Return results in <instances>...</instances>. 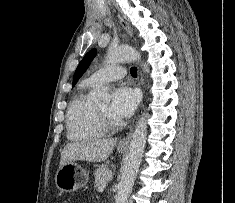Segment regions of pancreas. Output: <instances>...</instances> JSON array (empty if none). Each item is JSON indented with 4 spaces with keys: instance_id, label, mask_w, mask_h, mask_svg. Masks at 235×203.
<instances>
[{
    "instance_id": "pancreas-1",
    "label": "pancreas",
    "mask_w": 235,
    "mask_h": 203,
    "mask_svg": "<svg viewBox=\"0 0 235 203\" xmlns=\"http://www.w3.org/2000/svg\"><path fill=\"white\" fill-rule=\"evenodd\" d=\"M95 187L106 185L112 179V171L106 167L97 168L94 172Z\"/></svg>"
}]
</instances>
